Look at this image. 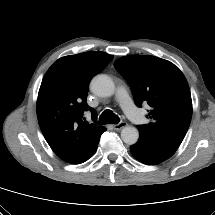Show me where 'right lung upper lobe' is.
<instances>
[{
	"label": "right lung upper lobe",
	"mask_w": 215,
	"mask_h": 215,
	"mask_svg": "<svg viewBox=\"0 0 215 215\" xmlns=\"http://www.w3.org/2000/svg\"><path fill=\"white\" fill-rule=\"evenodd\" d=\"M112 59V55L96 51L65 56L43 77L37 99L39 126L54 153L68 163L88 160L106 130L88 125L83 114L90 110L96 118L86 102L89 83Z\"/></svg>",
	"instance_id": "cb5924a9"
}]
</instances>
